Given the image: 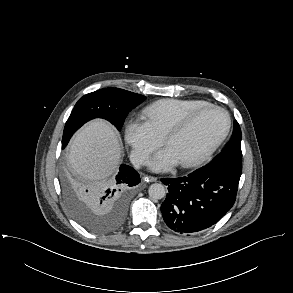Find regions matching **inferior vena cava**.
I'll return each instance as SVG.
<instances>
[{
  "instance_id": "1",
  "label": "inferior vena cava",
  "mask_w": 293,
  "mask_h": 293,
  "mask_svg": "<svg viewBox=\"0 0 293 293\" xmlns=\"http://www.w3.org/2000/svg\"><path fill=\"white\" fill-rule=\"evenodd\" d=\"M131 162L136 168H139L141 165H145L148 162V157L144 154L134 152L131 155Z\"/></svg>"
}]
</instances>
